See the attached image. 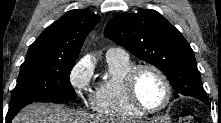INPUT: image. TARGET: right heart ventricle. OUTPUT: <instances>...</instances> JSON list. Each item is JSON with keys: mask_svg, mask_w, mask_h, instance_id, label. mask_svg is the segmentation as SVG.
Segmentation results:
<instances>
[{"mask_svg": "<svg viewBox=\"0 0 221 123\" xmlns=\"http://www.w3.org/2000/svg\"><path fill=\"white\" fill-rule=\"evenodd\" d=\"M109 78L96 87L92 100L93 110L99 115L117 120L136 119L144 113L137 110L128 100L124 79L134 64L129 58L107 59Z\"/></svg>", "mask_w": 221, "mask_h": 123, "instance_id": "1", "label": "right heart ventricle"}]
</instances>
